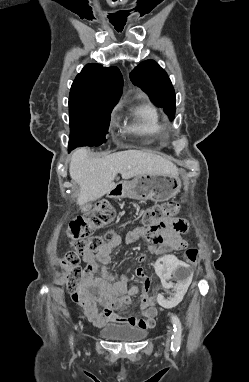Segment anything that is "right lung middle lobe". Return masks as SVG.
Returning a JSON list of instances; mask_svg holds the SVG:
<instances>
[{
  "label": "right lung middle lobe",
  "instance_id": "right-lung-middle-lobe-1",
  "mask_svg": "<svg viewBox=\"0 0 249 382\" xmlns=\"http://www.w3.org/2000/svg\"><path fill=\"white\" fill-rule=\"evenodd\" d=\"M113 106L94 103L69 110L70 138L68 150L79 146H100L106 142L110 113Z\"/></svg>",
  "mask_w": 249,
  "mask_h": 382
}]
</instances>
